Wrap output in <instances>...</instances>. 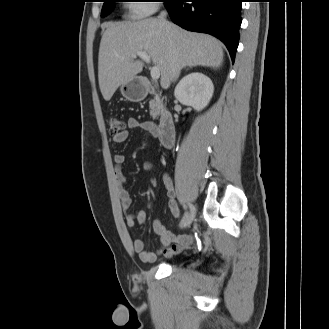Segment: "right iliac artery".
<instances>
[{
	"label": "right iliac artery",
	"mask_w": 329,
	"mask_h": 329,
	"mask_svg": "<svg viewBox=\"0 0 329 329\" xmlns=\"http://www.w3.org/2000/svg\"><path fill=\"white\" fill-rule=\"evenodd\" d=\"M190 213L195 214V208L192 204H189Z\"/></svg>",
	"instance_id": "right-iliac-artery-1"
}]
</instances>
